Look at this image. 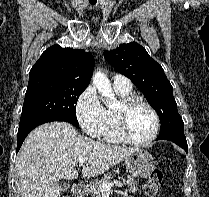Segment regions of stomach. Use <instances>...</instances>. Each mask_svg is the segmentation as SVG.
<instances>
[{"label":"stomach","instance_id":"obj_1","mask_svg":"<svg viewBox=\"0 0 209 197\" xmlns=\"http://www.w3.org/2000/svg\"><path fill=\"white\" fill-rule=\"evenodd\" d=\"M126 168L135 177L148 178L155 170V160L146 150L137 149L125 158Z\"/></svg>","mask_w":209,"mask_h":197}]
</instances>
